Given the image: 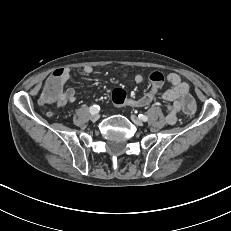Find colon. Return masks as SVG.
Masks as SVG:
<instances>
[{"instance_id":"5ec220e1","label":"colon","mask_w":231,"mask_h":231,"mask_svg":"<svg viewBox=\"0 0 231 231\" xmlns=\"http://www.w3.org/2000/svg\"><path fill=\"white\" fill-rule=\"evenodd\" d=\"M48 78L42 87L39 99L42 104L54 103L59 95V82L64 77V72L61 69H52L48 71ZM113 102L117 105L125 104L127 101L126 92L120 88L114 89L112 92ZM179 107L183 110L185 116H193L197 110L195 97L188 93H182L179 96Z\"/></svg>"}]
</instances>
